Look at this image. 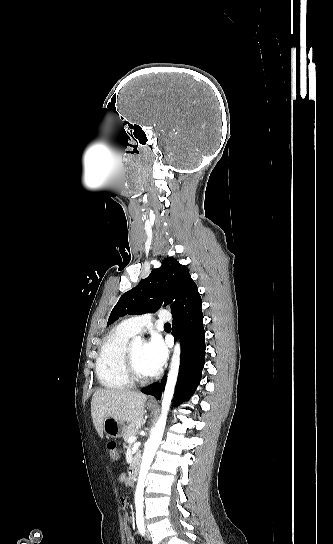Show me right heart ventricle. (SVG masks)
Masks as SVG:
<instances>
[{
    "label": "right heart ventricle",
    "mask_w": 333,
    "mask_h": 544,
    "mask_svg": "<svg viewBox=\"0 0 333 544\" xmlns=\"http://www.w3.org/2000/svg\"><path fill=\"white\" fill-rule=\"evenodd\" d=\"M133 334L119 325L104 338L96 360V375L99 383L113 390L129 388V380L124 365L127 343Z\"/></svg>",
    "instance_id": "e07e8e85"
}]
</instances>
